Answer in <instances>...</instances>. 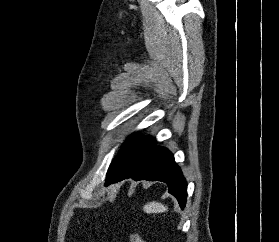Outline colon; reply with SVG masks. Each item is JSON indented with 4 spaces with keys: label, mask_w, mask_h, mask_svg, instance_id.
I'll return each mask as SVG.
<instances>
[{
    "label": "colon",
    "mask_w": 279,
    "mask_h": 242,
    "mask_svg": "<svg viewBox=\"0 0 279 242\" xmlns=\"http://www.w3.org/2000/svg\"><path fill=\"white\" fill-rule=\"evenodd\" d=\"M129 242H146L137 233L133 232L129 235Z\"/></svg>",
    "instance_id": "colon-1"
}]
</instances>
